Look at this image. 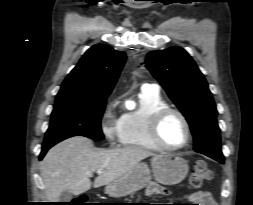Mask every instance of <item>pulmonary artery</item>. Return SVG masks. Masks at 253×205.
Segmentation results:
<instances>
[{
  "instance_id": "e3ab8cb5",
  "label": "pulmonary artery",
  "mask_w": 253,
  "mask_h": 205,
  "mask_svg": "<svg viewBox=\"0 0 253 205\" xmlns=\"http://www.w3.org/2000/svg\"><path fill=\"white\" fill-rule=\"evenodd\" d=\"M142 89L144 90H154V91H158L159 90V87L157 84H154V83H144L142 85Z\"/></svg>"
}]
</instances>
